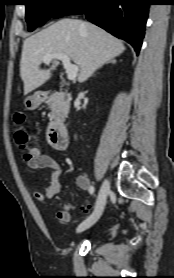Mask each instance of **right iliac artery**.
Listing matches in <instances>:
<instances>
[{"label":"right iliac artery","mask_w":174,"mask_h":278,"mask_svg":"<svg viewBox=\"0 0 174 278\" xmlns=\"http://www.w3.org/2000/svg\"><path fill=\"white\" fill-rule=\"evenodd\" d=\"M94 192H95V189H94L93 186H91V188L89 189V193H90V194H94Z\"/></svg>","instance_id":"82829eb1"}]
</instances>
